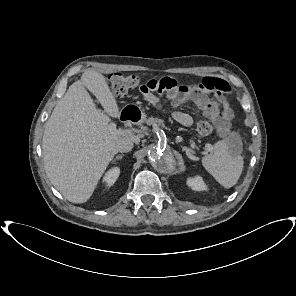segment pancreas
Masks as SVG:
<instances>
[{
  "label": "pancreas",
  "mask_w": 296,
  "mask_h": 296,
  "mask_svg": "<svg viewBox=\"0 0 296 296\" xmlns=\"http://www.w3.org/2000/svg\"><path fill=\"white\" fill-rule=\"evenodd\" d=\"M146 122L152 125L164 126L163 120L159 118H149Z\"/></svg>",
  "instance_id": "pancreas-1"
}]
</instances>
